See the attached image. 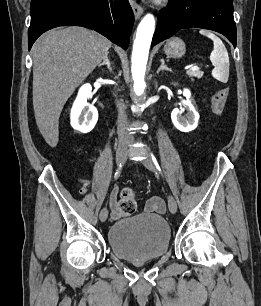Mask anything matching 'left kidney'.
<instances>
[{
  "label": "left kidney",
  "instance_id": "obj_1",
  "mask_svg": "<svg viewBox=\"0 0 261 306\" xmlns=\"http://www.w3.org/2000/svg\"><path fill=\"white\" fill-rule=\"evenodd\" d=\"M183 95L187 98V101L184 103L185 108L188 110L187 118L182 117L180 110L175 108L171 113V119L178 130L190 132L197 127L200 116L192 104L191 92L188 89H184Z\"/></svg>",
  "mask_w": 261,
  "mask_h": 306
}]
</instances>
